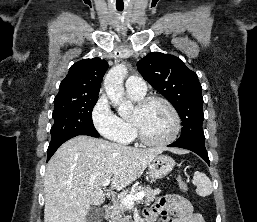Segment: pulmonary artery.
<instances>
[{
    "label": "pulmonary artery",
    "mask_w": 257,
    "mask_h": 222,
    "mask_svg": "<svg viewBox=\"0 0 257 222\" xmlns=\"http://www.w3.org/2000/svg\"><path fill=\"white\" fill-rule=\"evenodd\" d=\"M126 90L130 94L144 96L147 91L145 81L139 76H131L126 81Z\"/></svg>",
    "instance_id": "pulmonary-artery-1"
}]
</instances>
